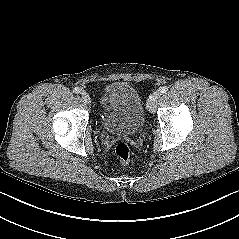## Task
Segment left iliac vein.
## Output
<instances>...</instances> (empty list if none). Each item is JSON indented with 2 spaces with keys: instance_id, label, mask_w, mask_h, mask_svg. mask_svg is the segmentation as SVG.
Segmentation results:
<instances>
[{
  "instance_id": "obj_1",
  "label": "left iliac vein",
  "mask_w": 239,
  "mask_h": 239,
  "mask_svg": "<svg viewBox=\"0 0 239 239\" xmlns=\"http://www.w3.org/2000/svg\"><path fill=\"white\" fill-rule=\"evenodd\" d=\"M159 98H160V92L159 91L153 92L150 95V97L148 98L147 107H148V110L151 113L155 112V109H156Z\"/></svg>"
}]
</instances>
